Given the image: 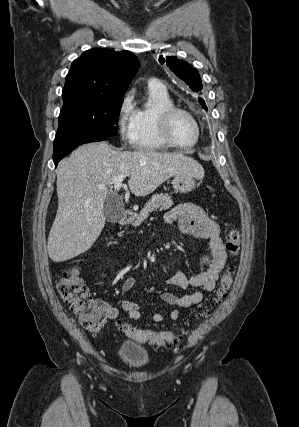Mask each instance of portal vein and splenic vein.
<instances>
[{
    "instance_id": "portal-vein-and-splenic-vein-1",
    "label": "portal vein and splenic vein",
    "mask_w": 299,
    "mask_h": 427,
    "mask_svg": "<svg viewBox=\"0 0 299 427\" xmlns=\"http://www.w3.org/2000/svg\"><path fill=\"white\" fill-rule=\"evenodd\" d=\"M127 176H128L127 174H123V175H120L114 179L113 184H114V190L115 191L120 190L121 186H123L122 182ZM100 187H104V186L101 185Z\"/></svg>"
}]
</instances>
